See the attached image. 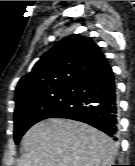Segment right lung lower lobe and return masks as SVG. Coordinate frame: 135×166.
<instances>
[{
	"label": "right lung lower lobe",
	"mask_w": 135,
	"mask_h": 166,
	"mask_svg": "<svg viewBox=\"0 0 135 166\" xmlns=\"http://www.w3.org/2000/svg\"><path fill=\"white\" fill-rule=\"evenodd\" d=\"M51 117L81 121L117 139V88L108 62L79 79L69 106Z\"/></svg>",
	"instance_id": "right-lung-lower-lobe-1"
}]
</instances>
